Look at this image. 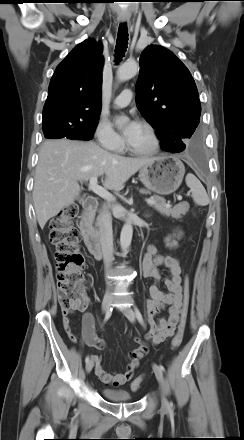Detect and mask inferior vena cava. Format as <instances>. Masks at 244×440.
<instances>
[{
  "label": "inferior vena cava",
  "mask_w": 244,
  "mask_h": 440,
  "mask_svg": "<svg viewBox=\"0 0 244 440\" xmlns=\"http://www.w3.org/2000/svg\"><path fill=\"white\" fill-rule=\"evenodd\" d=\"M100 243L102 248L103 260L105 265L106 275L110 270L113 257V231H112V219L110 213L107 211V207H103L98 217ZM110 286V283L107 282Z\"/></svg>",
  "instance_id": "1"
}]
</instances>
